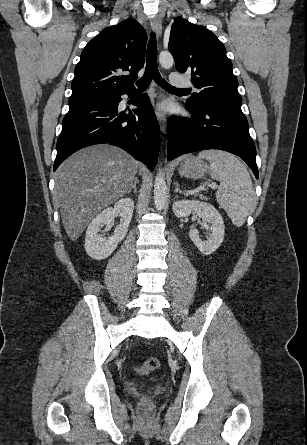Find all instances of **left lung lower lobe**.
<instances>
[{"instance_id":"1","label":"left lung lower lobe","mask_w":307,"mask_h":445,"mask_svg":"<svg viewBox=\"0 0 307 445\" xmlns=\"http://www.w3.org/2000/svg\"><path fill=\"white\" fill-rule=\"evenodd\" d=\"M191 118L172 116L168 122V160L204 149H220L241 157L256 178V149L241 111L221 107L192 111Z\"/></svg>"}]
</instances>
